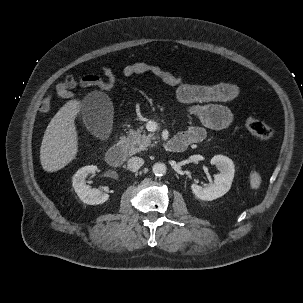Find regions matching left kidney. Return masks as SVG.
Here are the masks:
<instances>
[{"mask_svg": "<svg viewBox=\"0 0 303 303\" xmlns=\"http://www.w3.org/2000/svg\"><path fill=\"white\" fill-rule=\"evenodd\" d=\"M210 163L220 171L214 176V184L206 187H201L195 183L191 185L193 194L204 201H212L225 195L230 190L234 178V163L230 158L215 155Z\"/></svg>", "mask_w": 303, "mask_h": 303, "instance_id": "1", "label": "left kidney"}]
</instances>
